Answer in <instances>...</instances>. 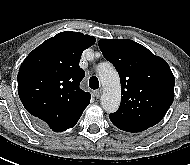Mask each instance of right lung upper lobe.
Wrapping results in <instances>:
<instances>
[{
  "instance_id": "right-lung-upper-lobe-1",
  "label": "right lung upper lobe",
  "mask_w": 190,
  "mask_h": 165,
  "mask_svg": "<svg viewBox=\"0 0 190 165\" xmlns=\"http://www.w3.org/2000/svg\"><path fill=\"white\" fill-rule=\"evenodd\" d=\"M93 36L65 31L34 49L18 72V94L26 110L54 132L72 128L90 103V93L79 85L85 72L82 52Z\"/></svg>"
}]
</instances>
